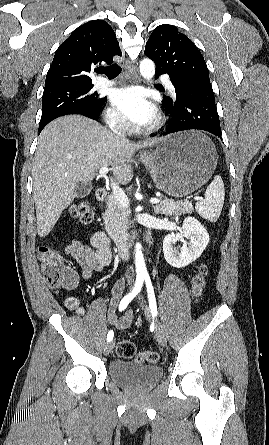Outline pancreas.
<instances>
[{"instance_id": "pancreas-1", "label": "pancreas", "mask_w": 269, "mask_h": 445, "mask_svg": "<svg viewBox=\"0 0 269 445\" xmlns=\"http://www.w3.org/2000/svg\"><path fill=\"white\" fill-rule=\"evenodd\" d=\"M107 209L102 214L106 232L116 243H124L127 240L129 209L117 201L112 193L107 197ZM157 214L166 216L192 213L194 208L191 202H174L165 199L154 206Z\"/></svg>"}]
</instances>
